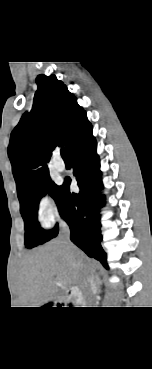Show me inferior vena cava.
I'll list each match as a JSON object with an SVG mask.
<instances>
[{
    "mask_svg": "<svg viewBox=\"0 0 152 369\" xmlns=\"http://www.w3.org/2000/svg\"><path fill=\"white\" fill-rule=\"evenodd\" d=\"M58 239L64 244L65 249L70 254H75V247L70 242V229H69V226L64 221H61L59 224ZM79 288L81 290V296L83 300L85 301V304L87 305V307H94L93 306L94 305V295L97 289H96V284L94 281V276L90 271L88 270L84 271L81 285Z\"/></svg>",
    "mask_w": 152,
    "mask_h": 369,
    "instance_id": "inferior-vena-cava-1",
    "label": "inferior vena cava"
}]
</instances>
